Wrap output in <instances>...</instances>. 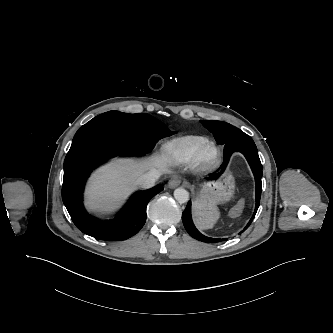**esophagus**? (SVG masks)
Wrapping results in <instances>:
<instances>
[{
  "instance_id": "34e87169",
  "label": "esophagus",
  "mask_w": 333,
  "mask_h": 333,
  "mask_svg": "<svg viewBox=\"0 0 333 333\" xmlns=\"http://www.w3.org/2000/svg\"><path fill=\"white\" fill-rule=\"evenodd\" d=\"M180 183H181V180L177 176H173L168 182V187L170 189H174L177 186H179Z\"/></svg>"
}]
</instances>
